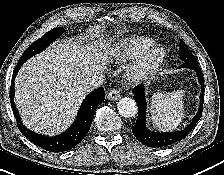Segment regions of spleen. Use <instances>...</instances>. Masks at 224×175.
I'll use <instances>...</instances> for the list:
<instances>
[{
  "mask_svg": "<svg viewBox=\"0 0 224 175\" xmlns=\"http://www.w3.org/2000/svg\"><path fill=\"white\" fill-rule=\"evenodd\" d=\"M184 91L154 93L151 96L150 113L157 128L172 130L178 127L184 117Z\"/></svg>",
  "mask_w": 224,
  "mask_h": 175,
  "instance_id": "obj_1",
  "label": "spleen"
}]
</instances>
